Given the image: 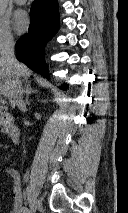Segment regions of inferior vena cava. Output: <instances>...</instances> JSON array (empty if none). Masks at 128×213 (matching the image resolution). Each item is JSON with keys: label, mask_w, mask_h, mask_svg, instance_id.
Here are the masks:
<instances>
[{"label": "inferior vena cava", "mask_w": 128, "mask_h": 213, "mask_svg": "<svg viewBox=\"0 0 128 213\" xmlns=\"http://www.w3.org/2000/svg\"><path fill=\"white\" fill-rule=\"evenodd\" d=\"M14 39L12 36H6L0 45V53L2 58L6 61L7 65L11 68L12 73L15 77L13 82V99L15 104L21 111H25V104L23 101V88L21 82V66L15 59L14 55Z\"/></svg>", "instance_id": "inferior-vena-cava-1"}]
</instances>
